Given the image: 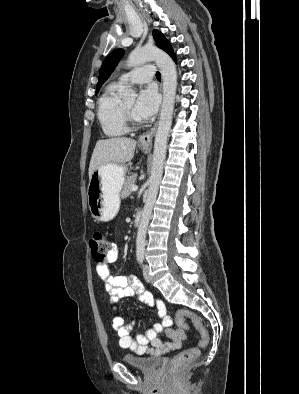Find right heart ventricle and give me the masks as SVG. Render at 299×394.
<instances>
[{"instance_id": "1", "label": "right heart ventricle", "mask_w": 299, "mask_h": 394, "mask_svg": "<svg viewBox=\"0 0 299 394\" xmlns=\"http://www.w3.org/2000/svg\"><path fill=\"white\" fill-rule=\"evenodd\" d=\"M121 88L119 82L109 84L98 101L97 117L102 131L108 137H120L129 130L121 108Z\"/></svg>"}]
</instances>
